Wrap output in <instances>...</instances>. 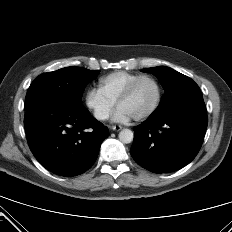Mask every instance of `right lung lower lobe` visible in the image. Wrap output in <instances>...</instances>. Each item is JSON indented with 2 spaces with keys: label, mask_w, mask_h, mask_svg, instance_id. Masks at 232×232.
<instances>
[{
  "label": "right lung lower lobe",
  "mask_w": 232,
  "mask_h": 232,
  "mask_svg": "<svg viewBox=\"0 0 232 232\" xmlns=\"http://www.w3.org/2000/svg\"><path fill=\"white\" fill-rule=\"evenodd\" d=\"M25 110L28 145L46 169L71 177L93 165L108 128L83 105L38 102Z\"/></svg>",
  "instance_id": "right-lung-lower-lobe-1"
}]
</instances>
